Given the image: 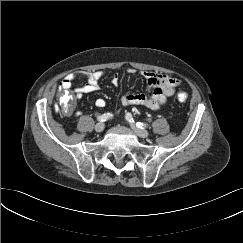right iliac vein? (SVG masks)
<instances>
[{"label": "right iliac vein", "instance_id": "right-iliac-vein-1", "mask_svg": "<svg viewBox=\"0 0 243 243\" xmlns=\"http://www.w3.org/2000/svg\"><path fill=\"white\" fill-rule=\"evenodd\" d=\"M104 128H105L104 123H101L100 122V123H97L96 124L95 131L98 132V133H100V132H102L104 130Z\"/></svg>", "mask_w": 243, "mask_h": 243}]
</instances>
